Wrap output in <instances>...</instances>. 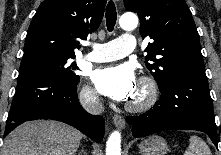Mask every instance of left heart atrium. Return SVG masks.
Returning <instances> with one entry per match:
<instances>
[{
  "instance_id": "1",
  "label": "left heart atrium",
  "mask_w": 221,
  "mask_h": 155,
  "mask_svg": "<svg viewBox=\"0 0 221 155\" xmlns=\"http://www.w3.org/2000/svg\"><path fill=\"white\" fill-rule=\"evenodd\" d=\"M92 80L101 94L116 101L130 100L137 89L134 71L127 65L98 69L93 73Z\"/></svg>"
}]
</instances>
